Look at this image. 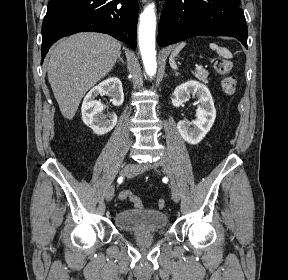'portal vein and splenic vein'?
I'll list each match as a JSON object with an SVG mask.
<instances>
[{
  "mask_svg": "<svg viewBox=\"0 0 288 280\" xmlns=\"http://www.w3.org/2000/svg\"><path fill=\"white\" fill-rule=\"evenodd\" d=\"M202 67L201 66H196V70H200Z\"/></svg>",
  "mask_w": 288,
  "mask_h": 280,
  "instance_id": "1",
  "label": "portal vein and splenic vein"
}]
</instances>
